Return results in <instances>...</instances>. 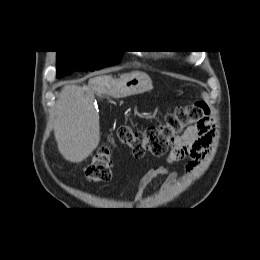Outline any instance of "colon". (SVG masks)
<instances>
[{"instance_id":"colon-1","label":"colon","mask_w":260,"mask_h":260,"mask_svg":"<svg viewBox=\"0 0 260 260\" xmlns=\"http://www.w3.org/2000/svg\"><path fill=\"white\" fill-rule=\"evenodd\" d=\"M209 109L203 101L178 107L164 116L163 122L135 130L129 125L117 128L114 137L128 146L134 157L146 153L155 157L163 156L174 144L177 137L188 127L207 119ZM112 154L108 145L101 146L85 169L86 179L91 183L108 181L111 178Z\"/></svg>"}]
</instances>
